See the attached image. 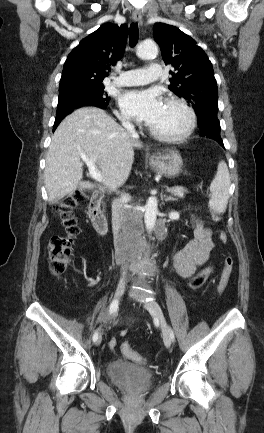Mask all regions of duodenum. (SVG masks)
Masks as SVG:
<instances>
[{"instance_id": "1", "label": "duodenum", "mask_w": 264, "mask_h": 433, "mask_svg": "<svg viewBox=\"0 0 264 433\" xmlns=\"http://www.w3.org/2000/svg\"><path fill=\"white\" fill-rule=\"evenodd\" d=\"M102 199L103 193L101 191H96L92 194L88 204V214L97 233L104 236L108 232L109 225L107 218L100 209Z\"/></svg>"}]
</instances>
